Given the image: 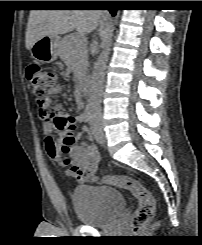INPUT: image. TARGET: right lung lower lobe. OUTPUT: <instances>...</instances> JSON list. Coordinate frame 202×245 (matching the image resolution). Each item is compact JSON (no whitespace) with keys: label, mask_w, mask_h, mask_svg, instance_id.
Here are the masks:
<instances>
[{"label":"right lung lower lobe","mask_w":202,"mask_h":245,"mask_svg":"<svg viewBox=\"0 0 202 245\" xmlns=\"http://www.w3.org/2000/svg\"><path fill=\"white\" fill-rule=\"evenodd\" d=\"M105 6H107V7H109V11H110V13L114 16L115 14H116V8H115V6L113 5V4H107V5H105Z\"/></svg>","instance_id":"1"}]
</instances>
